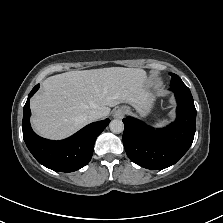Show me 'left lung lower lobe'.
Returning a JSON list of instances; mask_svg holds the SVG:
<instances>
[{
	"label": "left lung lower lobe",
	"mask_w": 223,
	"mask_h": 223,
	"mask_svg": "<svg viewBox=\"0 0 223 223\" xmlns=\"http://www.w3.org/2000/svg\"><path fill=\"white\" fill-rule=\"evenodd\" d=\"M177 100V119L154 129L132 117L123 119V143L131 161L161 170L175 164L190 148L196 129V109L189 88L170 86Z\"/></svg>",
	"instance_id": "obj_1"
}]
</instances>
